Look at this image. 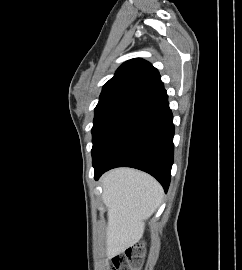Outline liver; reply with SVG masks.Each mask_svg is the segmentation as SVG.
I'll use <instances>...</instances> for the list:
<instances>
[{"label": "liver", "mask_w": 242, "mask_h": 270, "mask_svg": "<svg viewBox=\"0 0 242 270\" xmlns=\"http://www.w3.org/2000/svg\"><path fill=\"white\" fill-rule=\"evenodd\" d=\"M102 199L108 208V250L118 253L136 244L144 233L143 220L160 206L163 189L150 175L130 168L113 169L101 178Z\"/></svg>", "instance_id": "obj_1"}]
</instances>
